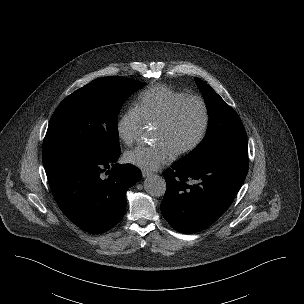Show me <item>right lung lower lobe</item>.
Returning <instances> with one entry per match:
<instances>
[{
  "instance_id": "right-lung-lower-lobe-1",
  "label": "right lung lower lobe",
  "mask_w": 304,
  "mask_h": 304,
  "mask_svg": "<svg viewBox=\"0 0 304 304\" xmlns=\"http://www.w3.org/2000/svg\"><path fill=\"white\" fill-rule=\"evenodd\" d=\"M119 155L70 153L43 160L59 208L86 232L115 226L124 216L127 190L142 177L138 168L116 163Z\"/></svg>"
}]
</instances>
